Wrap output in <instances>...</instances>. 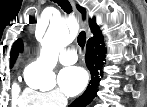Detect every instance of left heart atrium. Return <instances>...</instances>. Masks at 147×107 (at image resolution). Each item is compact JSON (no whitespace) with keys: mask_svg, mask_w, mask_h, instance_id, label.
Instances as JSON below:
<instances>
[{"mask_svg":"<svg viewBox=\"0 0 147 107\" xmlns=\"http://www.w3.org/2000/svg\"><path fill=\"white\" fill-rule=\"evenodd\" d=\"M58 83L65 95L75 96L85 88L87 74L81 67H67L60 72Z\"/></svg>","mask_w":147,"mask_h":107,"instance_id":"39dd6f15","label":"left heart atrium"}]
</instances>
